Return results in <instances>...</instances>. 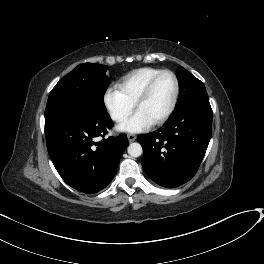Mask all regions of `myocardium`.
Wrapping results in <instances>:
<instances>
[{
	"label": "myocardium",
	"mask_w": 264,
	"mask_h": 264,
	"mask_svg": "<svg viewBox=\"0 0 264 264\" xmlns=\"http://www.w3.org/2000/svg\"><path fill=\"white\" fill-rule=\"evenodd\" d=\"M164 74H169L170 76H172L174 83H175V90H174L172 101H171L168 109L157 120L152 122L151 125H153V126H158V125L163 124L173 114V112L176 108L179 93H180V83H179V80H178V77L176 76V74L170 70H162L159 73H157L146 84V86L144 87L143 91L141 92L140 96L138 97V99L136 100V102L134 104L135 109H137L140 104H142L144 101H146L147 98L149 97L152 89H153V86L155 85L157 80Z\"/></svg>",
	"instance_id": "1"
}]
</instances>
